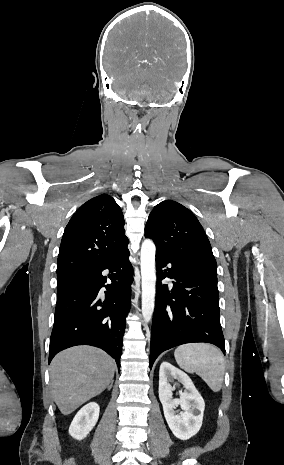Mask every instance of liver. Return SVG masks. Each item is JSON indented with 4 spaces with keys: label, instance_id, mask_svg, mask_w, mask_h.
Masks as SVG:
<instances>
[{
    "label": "liver",
    "instance_id": "obj_1",
    "mask_svg": "<svg viewBox=\"0 0 284 465\" xmlns=\"http://www.w3.org/2000/svg\"><path fill=\"white\" fill-rule=\"evenodd\" d=\"M113 359L95 347H73L52 361L53 399L62 415H70L83 403L100 395L114 377Z\"/></svg>",
    "mask_w": 284,
    "mask_h": 465
}]
</instances>
